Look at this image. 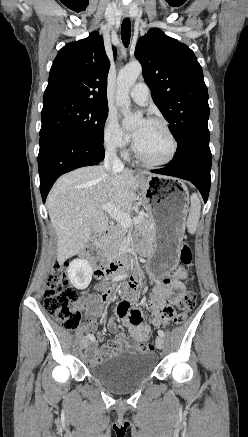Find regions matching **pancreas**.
I'll return each instance as SVG.
<instances>
[{
  "instance_id": "1",
  "label": "pancreas",
  "mask_w": 248,
  "mask_h": 437,
  "mask_svg": "<svg viewBox=\"0 0 248 437\" xmlns=\"http://www.w3.org/2000/svg\"><path fill=\"white\" fill-rule=\"evenodd\" d=\"M142 236L146 239L152 237L151 223L147 217H142L140 223L136 227ZM126 228L121 224H117L114 229L108 234L103 248L107 256L115 258L120 253V247L122 243L126 242Z\"/></svg>"
}]
</instances>
